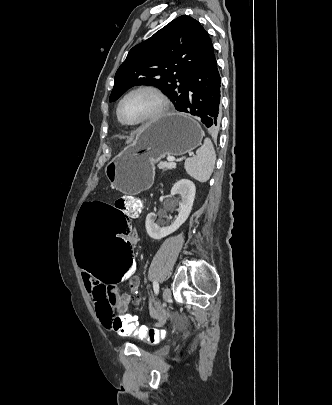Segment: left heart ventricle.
<instances>
[{"mask_svg":"<svg viewBox=\"0 0 332 405\" xmlns=\"http://www.w3.org/2000/svg\"><path fill=\"white\" fill-rule=\"evenodd\" d=\"M159 106L158 99L148 91H138L128 96L121 107L127 121H138L152 115Z\"/></svg>","mask_w":332,"mask_h":405,"instance_id":"1","label":"left heart ventricle"}]
</instances>
